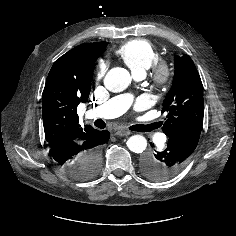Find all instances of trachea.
Listing matches in <instances>:
<instances>
[{"label": "trachea", "mask_w": 236, "mask_h": 236, "mask_svg": "<svg viewBox=\"0 0 236 236\" xmlns=\"http://www.w3.org/2000/svg\"><path fill=\"white\" fill-rule=\"evenodd\" d=\"M94 125L98 128L103 129L105 127V122L102 119H97L94 122ZM152 129L151 126H145V125H134L131 127V130L138 131V132H147Z\"/></svg>", "instance_id": "obj_1"}]
</instances>
